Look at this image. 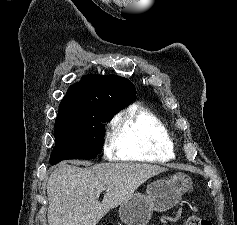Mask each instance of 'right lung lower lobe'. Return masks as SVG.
<instances>
[{
	"mask_svg": "<svg viewBox=\"0 0 237 225\" xmlns=\"http://www.w3.org/2000/svg\"><path fill=\"white\" fill-rule=\"evenodd\" d=\"M60 161H62V160H56V161H49L52 165H54V164H57L58 162H60Z\"/></svg>",
	"mask_w": 237,
	"mask_h": 225,
	"instance_id": "1",
	"label": "right lung lower lobe"
}]
</instances>
